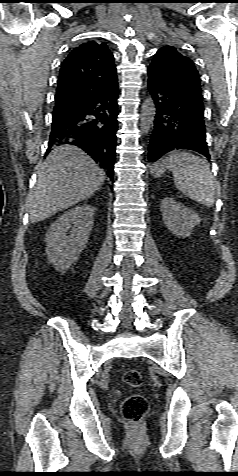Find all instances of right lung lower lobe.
Listing matches in <instances>:
<instances>
[{"instance_id":"1","label":"right lung lower lobe","mask_w":238,"mask_h":476,"mask_svg":"<svg viewBox=\"0 0 238 476\" xmlns=\"http://www.w3.org/2000/svg\"><path fill=\"white\" fill-rule=\"evenodd\" d=\"M118 85L64 118L52 121L47 152L53 144H72L88 153L113 178L118 130Z\"/></svg>"}]
</instances>
